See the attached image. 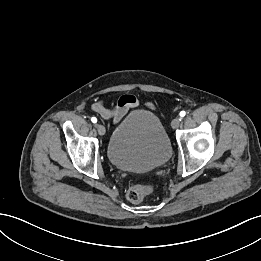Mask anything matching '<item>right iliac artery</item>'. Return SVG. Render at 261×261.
I'll return each instance as SVG.
<instances>
[{
	"label": "right iliac artery",
	"mask_w": 261,
	"mask_h": 261,
	"mask_svg": "<svg viewBox=\"0 0 261 261\" xmlns=\"http://www.w3.org/2000/svg\"><path fill=\"white\" fill-rule=\"evenodd\" d=\"M91 121H92L93 123H97V118H96V117H92V118H91Z\"/></svg>",
	"instance_id": "1"
}]
</instances>
